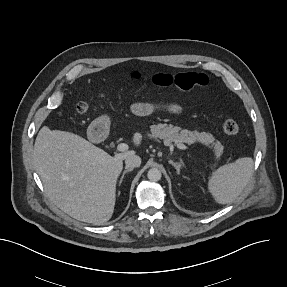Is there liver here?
Wrapping results in <instances>:
<instances>
[{
	"mask_svg": "<svg viewBox=\"0 0 287 287\" xmlns=\"http://www.w3.org/2000/svg\"><path fill=\"white\" fill-rule=\"evenodd\" d=\"M134 151L110 156L71 132L40 129L34 163L50 201L71 217L94 225L113 215L117 178Z\"/></svg>",
	"mask_w": 287,
	"mask_h": 287,
	"instance_id": "6515ba94",
	"label": "liver"
}]
</instances>
